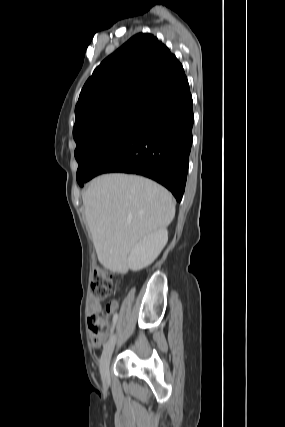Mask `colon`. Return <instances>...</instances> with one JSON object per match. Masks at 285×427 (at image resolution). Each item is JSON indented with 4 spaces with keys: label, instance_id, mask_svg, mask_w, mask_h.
I'll return each mask as SVG.
<instances>
[{
    "label": "colon",
    "instance_id": "colon-1",
    "mask_svg": "<svg viewBox=\"0 0 285 427\" xmlns=\"http://www.w3.org/2000/svg\"><path fill=\"white\" fill-rule=\"evenodd\" d=\"M113 289L112 275L103 269H96L90 284V298L97 302H103L112 294ZM88 327L92 342L95 345H100L109 328L107 318L96 313L92 314L88 319Z\"/></svg>",
    "mask_w": 285,
    "mask_h": 427
}]
</instances>
